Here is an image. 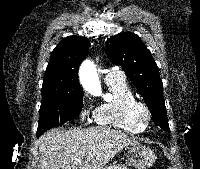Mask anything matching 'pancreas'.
<instances>
[{"label":"pancreas","instance_id":"cf45deb5","mask_svg":"<svg viewBox=\"0 0 200 169\" xmlns=\"http://www.w3.org/2000/svg\"><path fill=\"white\" fill-rule=\"evenodd\" d=\"M105 169H127V168L124 167V165L120 166V165H116V164H110Z\"/></svg>","mask_w":200,"mask_h":169}]
</instances>
